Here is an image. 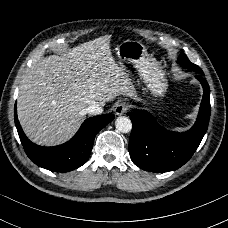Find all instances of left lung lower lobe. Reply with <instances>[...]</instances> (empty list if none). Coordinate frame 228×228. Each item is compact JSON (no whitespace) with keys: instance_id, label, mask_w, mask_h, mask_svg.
<instances>
[{"instance_id":"left-lung-lower-lobe-1","label":"left lung lower lobe","mask_w":228,"mask_h":228,"mask_svg":"<svg viewBox=\"0 0 228 228\" xmlns=\"http://www.w3.org/2000/svg\"><path fill=\"white\" fill-rule=\"evenodd\" d=\"M196 78L203 86V98L194 126L183 133L167 131L143 111L128 112L132 121L129 153L143 170L162 173L183 166L194 154L205 135L210 119V89L202 74Z\"/></svg>"}]
</instances>
